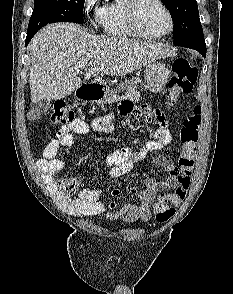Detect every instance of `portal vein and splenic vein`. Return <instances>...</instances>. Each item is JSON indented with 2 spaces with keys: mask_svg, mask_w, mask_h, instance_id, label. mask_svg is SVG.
Returning a JSON list of instances; mask_svg holds the SVG:
<instances>
[{
  "mask_svg": "<svg viewBox=\"0 0 233 294\" xmlns=\"http://www.w3.org/2000/svg\"><path fill=\"white\" fill-rule=\"evenodd\" d=\"M86 65H87V62H85V61H81V62H79V63L75 66V69H76V70L82 69V68H84Z\"/></svg>",
  "mask_w": 233,
  "mask_h": 294,
  "instance_id": "1",
  "label": "portal vein and splenic vein"
}]
</instances>
